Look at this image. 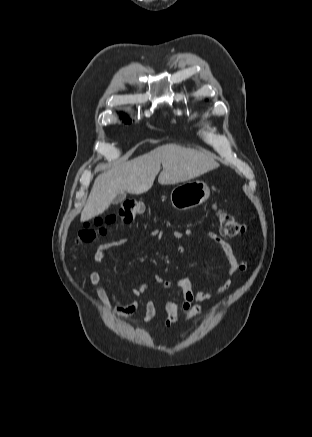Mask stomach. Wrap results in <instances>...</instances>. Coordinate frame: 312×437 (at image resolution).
<instances>
[{
	"instance_id": "1",
	"label": "stomach",
	"mask_w": 312,
	"mask_h": 437,
	"mask_svg": "<svg viewBox=\"0 0 312 437\" xmlns=\"http://www.w3.org/2000/svg\"><path fill=\"white\" fill-rule=\"evenodd\" d=\"M210 196V190L202 181H188L176 186L171 194L172 206L179 211H185L203 204Z\"/></svg>"
}]
</instances>
